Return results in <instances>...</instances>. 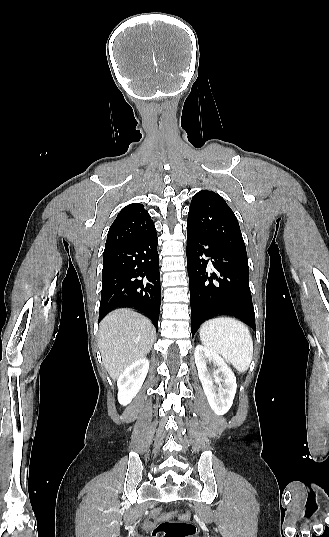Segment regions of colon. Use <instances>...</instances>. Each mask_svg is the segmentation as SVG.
Listing matches in <instances>:
<instances>
[{"mask_svg":"<svg viewBox=\"0 0 329 537\" xmlns=\"http://www.w3.org/2000/svg\"><path fill=\"white\" fill-rule=\"evenodd\" d=\"M151 516L155 520H162L153 531L154 537H193L196 526L191 521L188 511L171 512L168 509H155ZM177 520H173L174 517Z\"/></svg>","mask_w":329,"mask_h":537,"instance_id":"colon-1","label":"colon"}]
</instances>
